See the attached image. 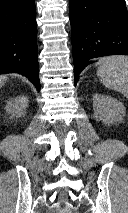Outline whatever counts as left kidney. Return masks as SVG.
I'll return each mask as SVG.
<instances>
[{
    "label": "left kidney",
    "instance_id": "left-kidney-1",
    "mask_svg": "<svg viewBox=\"0 0 128 213\" xmlns=\"http://www.w3.org/2000/svg\"><path fill=\"white\" fill-rule=\"evenodd\" d=\"M93 109L95 118L108 125L120 123L126 112L120 101L102 94L93 95Z\"/></svg>",
    "mask_w": 128,
    "mask_h": 213
}]
</instances>
